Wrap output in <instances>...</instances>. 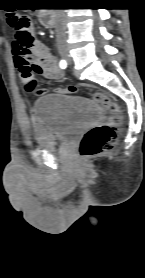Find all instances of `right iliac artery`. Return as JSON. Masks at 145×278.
Segmentation results:
<instances>
[{
  "label": "right iliac artery",
  "instance_id": "obj_1",
  "mask_svg": "<svg viewBox=\"0 0 145 278\" xmlns=\"http://www.w3.org/2000/svg\"><path fill=\"white\" fill-rule=\"evenodd\" d=\"M66 66H67V62H66L65 60H61V61H60V67H61L62 69H65Z\"/></svg>",
  "mask_w": 145,
  "mask_h": 278
}]
</instances>
